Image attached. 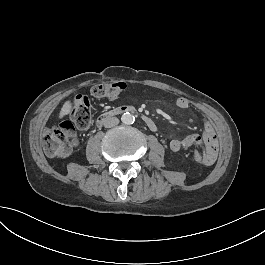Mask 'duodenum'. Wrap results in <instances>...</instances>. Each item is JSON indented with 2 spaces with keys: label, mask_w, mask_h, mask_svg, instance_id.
<instances>
[{
  "label": "duodenum",
  "mask_w": 265,
  "mask_h": 265,
  "mask_svg": "<svg viewBox=\"0 0 265 265\" xmlns=\"http://www.w3.org/2000/svg\"><path fill=\"white\" fill-rule=\"evenodd\" d=\"M132 108L128 107V106H118V107H115L111 110H108V111H105V112H102L101 114H99L96 118V124L97 125H102L106 120L110 119V118H113L117 115H121L123 113H126V112H129L131 111ZM141 117V120L145 123V125L153 130V131H156L157 130V125L155 123V121L148 115L146 114H141L140 115Z\"/></svg>",
  "instance_id": "1"
}]
</instances>
